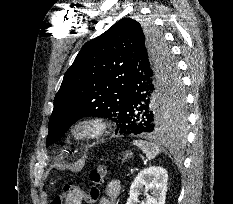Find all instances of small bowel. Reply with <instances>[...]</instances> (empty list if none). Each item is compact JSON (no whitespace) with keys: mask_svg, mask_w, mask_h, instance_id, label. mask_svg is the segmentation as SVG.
I'll return each instance as SVG.
<instances>
[{"mask_svg":"<svg viewBox=\"0 0 233 204\" xmlns=\"http://www.w3.org/2000/svg\"><path fill=\"white\" fill-rule=\"evenodd\" d=\"M121 184L118 180L110 181L104 191L103 197L100 199L99 204H115L117 198L120 195ZM85 202H90L89 199H86Z\"/></svg>","mask_w":233,"mask_h":204,"instance_id":"c3829d8e","label":"small bowel"}]
</instances>
